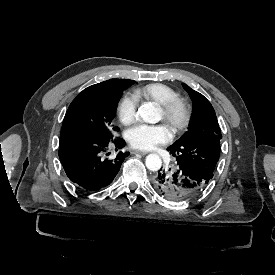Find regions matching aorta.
I'll return each mask as SVG.
<instances>
[{
  "label": "aorta",
  "instance_id": "obj_1",
  "mask_svg": "<svg viewBox=\"0 0 275 275\" xmlns=\"http://www.w3.org/2000/svg\"><path fill=\"white\" fill-rule=\"evenodd\" d=\"M137 114L144 122L155 124L161 120L162 110L159 106L148 102L138 108ZM145 163L146 167L152 172L160 170L162 166V160L157 154H149Z\"/></svg>",
  "mask_w": 275,
  "mask_h": 275
}]
</instances>
